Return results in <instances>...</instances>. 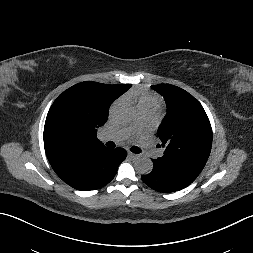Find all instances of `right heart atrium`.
Instances as JSON below:
<instances>
[{
  "instance_id": "right-heart-atrium-1",
  "label": "right heart atrium",
  "mask_w": 253,
  "mask_h": 253,
  "mask_svg": "<svg viewBox=\"0 0 253 253\" xmlns=\"http://www.w3.org/2000/svg\"><path fill=\"white\" fill-rule=\"evenodd\" d=\"M117 105V103H115L114 105H113V107H112V109L111 110H113L114 108H115V106Z\"/></svg>"
}]
</instances>
